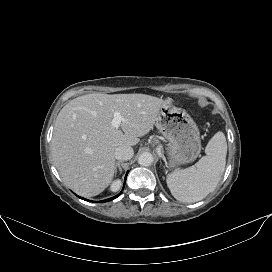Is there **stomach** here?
I'll list each match as a JSON object with an SVG mask.
<instances>
[{
    "instance_id": "1",
    "label": "stomach",
    "mask_w": 272,
    "mask_h": 272,
    "mask_svg": "<svg viewBox=\"0 0 272 272\" xmlns=\"http://www.w3.org/2000/svg\"><path fill=\"white\" fill-rule=\"evenodd\" d=\"M155 125L169 141L171 167L193 162L198 157L201 151L200 132L185 110L166 100L158 112Z\"/></svg>"
}]
</instances>
